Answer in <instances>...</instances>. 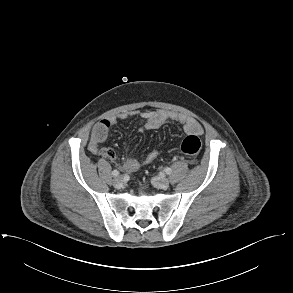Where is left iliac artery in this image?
I'll return each mask as SVG.
<instances>
[{"mask_svg": "<svg viewBox=\"0 0 293 293\" xmlns=\"http://www.w3.org/2000/svg\"><path fill=\"white\" fill-rule=\"evenodd\" d=\"M164 171H165V173L168 174V175L172 173V170H171V168H169V167H166V168L164 169Z\"/></svg>", "mask_w": 293, "mask_h": 293, "instance_id": "left-iliac-artery-1", "label": "left iliac artery"}]
</instances>
